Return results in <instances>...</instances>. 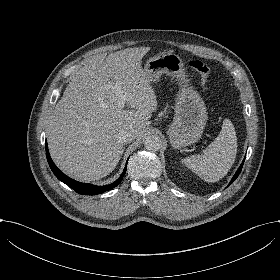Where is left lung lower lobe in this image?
I'll return each mask as SVG.
<instances>
[{"label": "left lung lower lobe", "instance_id": "0a47b994", "mask_svg": "<svg viewBox=\"0 0 280 280\" xmlns=\"http://www.w3.org/2000/svg\"><path fill=\"white\" fill-rule=\"evenodd\" d=\"M243 164H244V161L242 162V164L240 165L239 169L237 170V172H236L235 175L233 176V178H232L231 182L229 183V185H230L231 183H233V182L235 181V179L238 177V175L240 174L241 169H242V167H243ZM229 185H228V186H229Z\"/></svg>", "mask_w": 280, "mask_h": 280}]
</instances>
